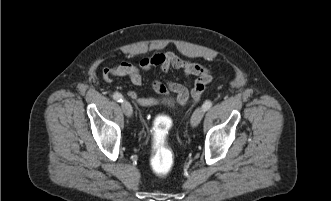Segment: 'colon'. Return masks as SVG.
<instances>
[{"label": "colon", "instance_id": "5ec220e1", "mask_svg": "<svg viewBox=\"0 0 331 201\" xmlns=\"http://www.w3.org/2000/svg\"><path fill=\"white\" fill-rule=\"evenodd\" d=\"M211 76L199 77L192 89L191 100L196 102L199 100L206 85L210 82ZM187 102V101H184ZM170 128V120L168 117L160 115L153 122V153L151 156V167L155 174L163 176L169 173L173 166V154L166 145V136Z\"/></svg>", "mask_w": 331, "mask_h": 201}]
</instances>
